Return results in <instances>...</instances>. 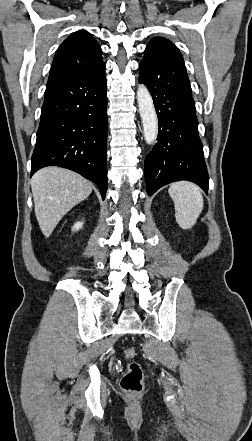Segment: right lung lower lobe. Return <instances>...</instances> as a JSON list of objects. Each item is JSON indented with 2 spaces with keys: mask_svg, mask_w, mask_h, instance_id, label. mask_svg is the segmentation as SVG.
<instances>
[{
  "mask_svg": "<svg viewBox=\"0 0 252 441\" xmlns=\"http://www.w3.org/2000/svg\"><path fill=\"white\" fill-rule=\"evenodd\" d=\"M105 67L49 85L44 94L31 176L46 166L73 170L107 190Z\"/></svg>",
  "mask_w": 252,
  "mask_h": 441,
  "instance_id": "right-lung-lower-lobe-1",
  "label": "right lung lower lobe"
}]
</instances>
